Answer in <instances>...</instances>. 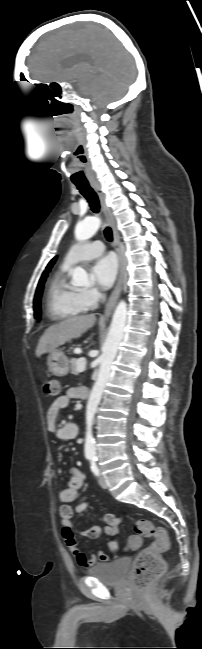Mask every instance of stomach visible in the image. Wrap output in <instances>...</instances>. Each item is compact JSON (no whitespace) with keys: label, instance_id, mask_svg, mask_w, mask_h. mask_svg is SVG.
Wrapping results in <instances>:
<instances>
[{"label":"stomach","instance_id":"obj_1","mask_svg":"<svg viewBox=\"0 0 202 649\" xmlns=\"http://www.w3.org/2000/svg\"><path fill=\"white\" fill-rule=\"evenodd\" d=\"M49 371L58 377L66 376L69 372V360L61 350H54L47 359Z\"/></svg>","mask_w":202,"mask_h":649}]
</instances>
